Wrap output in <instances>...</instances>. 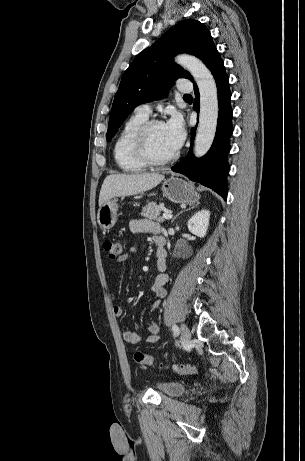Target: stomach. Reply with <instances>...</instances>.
<instances>
[{
    "mask_svg": "<svg viewBox=\"0 0 305 461\" xmlns=\"http://www.w3.org/2000/svg\"><path fill=\"white\" fill-rule=\"evenodd\" d=\"M163 195L173 203H193L200 198L192 184L178 177H171L162 184ZM117 200H109L100 206L97 213V222L103 229L109 230L117 222Z\"/></svg>",
    "mask_w": 305,
    "mask_h": 461,
    "instance_id": "obj_1",
    "label": "stomach"
}]
</instances>
